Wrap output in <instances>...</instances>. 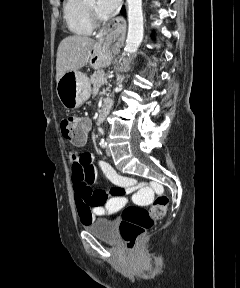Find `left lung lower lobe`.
<instances>
[{"mask_svg":"<svg viewBox=\"0 0 240 288\" xmlns=\"http://www.w3.org/2000/svg\"><path fill=\"white\" fill-rule=\"evenodd\" d=\"M122 13H123V14L125 13V9H124V8L122 9Z\"/></svg>","mask_w":240,"mask_h":288,"instance_id":"left-lung-lower-lobe-1","label":"left lung lower lobe"}]
</instances>
